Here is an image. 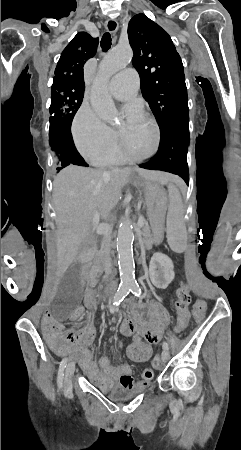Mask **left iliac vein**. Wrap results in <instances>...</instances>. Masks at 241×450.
I'll return each instance as SVG.
<instances>
[{
  "instance_id": "obj_1",
  "label": "left iliac vein",
  "mask_w": 241,
  "mask_h": 450,
  "mask_svg": "<svg viewBox=\"0 0 241 450\" xmlns=\"http://www.w3.org/2000/svg\"><path fill=\"white\" fill-rule=\"evenodd\" d=\"M169 358H170V354H169L168 350L164 349L162 352V361L164 363H166L169 360Z\"/></svg>"
}]
</instances>
